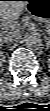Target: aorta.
<instances>
[{
  "instance_id": "762f6f07",
  "label": "aorta",
  "mask_w": 50,
  "mask_h": 111,
  "mask_svg": "<svg viewBox=\"0 0 50 111\" xmlns=\"http://www.w3.org/2000/svg\"><path fill=\"white\" fill-rule=\"evenodd\" d=\"M26 46L29 49H39L42 46V40L38 35H30L25 40Z\"/></svg>"
}]
</instances>
